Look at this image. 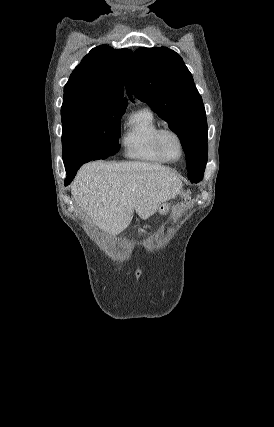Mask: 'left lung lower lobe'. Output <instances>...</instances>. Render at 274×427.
Segmentation results:
<instances>
[{
	"label": "left lung lower lobe",
	"instance_id": "1",
	"mask_svg": "<svg viewBox=\"0 0 274 427\" xmlns=\"http://www.w3.org/2000/svg\"><path fill=\"white\" fill-rule=\"evenodd\" d=\"M202 177H203V176H198V177L188 176V179H189L191 182H195V183H197V182H199V181H201V180H202Z\"/></svg>",
	"mask_w": 274,
	"mask_h": 427
}]
</instances>
